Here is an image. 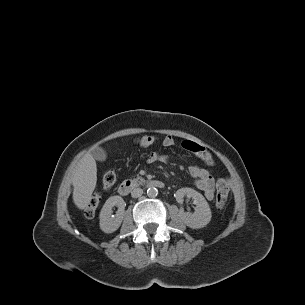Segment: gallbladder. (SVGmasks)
I'll return each instance as SVG.
<instances>
[{
    "instance_id": "gallbladder-1",
    "label": "gallbladder",
    "mask_w": 305,
    "mask_h": 305,
    "mask_svg": "<svg viewBox=\"0 0 305 305\" xmlns=\"http://www.w3.org/2000/svg\"><path fill=\"white\" fill-rule=\"evenodd\" d=\"M91 155L98 161H105L107 158V153L102 147H94L91 150Z\"/></svg>"
}]
</instances>
